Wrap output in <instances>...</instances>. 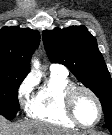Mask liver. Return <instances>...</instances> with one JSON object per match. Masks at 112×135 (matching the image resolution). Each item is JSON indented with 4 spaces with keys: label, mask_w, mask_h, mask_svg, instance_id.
Returning <instances> with one entry per match:
<instances>
[{
    "label": "liver",
    "mask_w": 112,
    "mask_h": 135,
    "mask_svg": "<svg viewBox=\"0 0 112 135\" xmlns=\"http://www.w3.org/2000/svg\"><path fill=\"white\" fill-rule=\"evenodd\" d=\"M0 135H75L73 132L41 122L26 121L11 124L0 116Z\"/></svg>",
    "instance_id": "liver-1"
}]
</instances>
